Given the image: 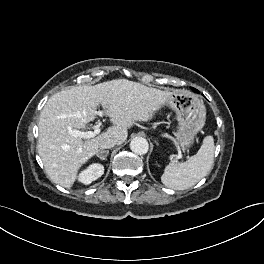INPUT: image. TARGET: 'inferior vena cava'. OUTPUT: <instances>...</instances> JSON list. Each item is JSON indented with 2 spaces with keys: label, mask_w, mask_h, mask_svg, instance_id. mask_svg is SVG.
<instances>
[{
  "label": "inferior vena cava",
  "mask_w": 264,
  "mask_h": 264,
  "mask_svg": "<svg viewBox=\"0 0 264 264\" xmlns=\"http://www.w3.org/2000/svg\"><path fill=\"white\" fill-rule=\"evenodd\" d=\"M117 144V140L113 138H107L100 142L99 148L100 149H110Z\"/></svg>",
  "instance_id": "obj_1"
}]
</instances>
